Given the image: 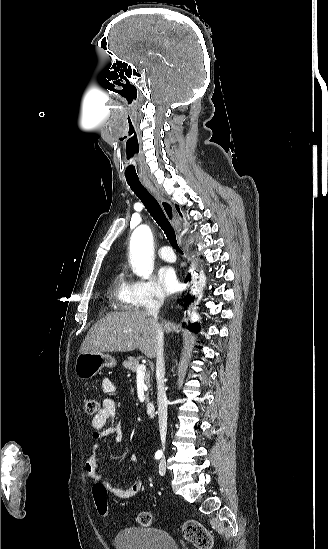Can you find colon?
Masks as SVG:
<instances>
[{
    "label": "colon",
    "mask_w": 328,
    "mask_h": 549,
    "mask_svg": "<svg viewBox=\"0 0 328 549\" xmlns=\"http://www.w3.org/2000/svg\"><path fill=\"white\" fill-rule=\"evenodd\" d=\"M84 410L87 414L93 415L99 411V405L95 398L88 396L84 399ZM93 498L98 514L107 518V489L102 481H96L93 484ZM137 522L141 527H149L153 522V516L149 511H142L137 517ZM183 536L186 540L193 543L199 549H209L213 545V537L209 530L197 521L189 520L184 523L182 528Z\"/></svg>",
    "instance_id": "obj_1"
}]
</instances>
